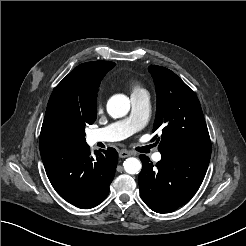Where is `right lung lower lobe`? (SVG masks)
<instances>
[{"label":"right lung lower lobe","mask_w":246,"mask_h":246,"mask_svg":"<svg viewBox=\"0 0 246 246\" xmlns=\"http://www.w3.org/2000/svg\"><path fill=\"white\" fill-rule=\"evenodd\" d=\"M40 152L52 186L66 201L89 209L107 197L117 166L115 149L95 151L94 159L86 142L63 140Z\"/></svg>","instance_id":"right-lung-lower-lobe-1"}]
</instances>
